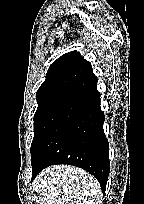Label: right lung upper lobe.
I'll list each match as a JSON object with an SVG mask.
<instances>
[{
    "label": "right lung upper lobe",
    "instance_id": "obj_1",
    "mask_svg": "<svg viewBox=\"0 0 144 204\" xmlns=\"http://www.w3.org/2000/svg\"><path fill=\"white\" fill-rule=\"evenodd\" d=\"M97 87L91 64L79 52L62 55L50 66L46 79L37 91L41 103L58 96L78 97Z\"/></svg>",
    "mask_w": 144,
    "mask_h": 204
}]
</instances>
